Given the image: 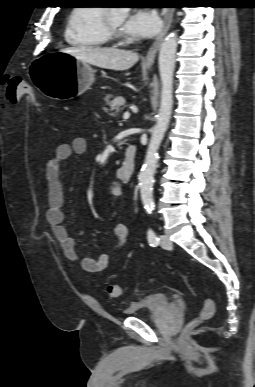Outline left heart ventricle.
I'll list each match as a JSON object with an SVG mask.
<instances>
[{"mask_svg":"<svg viewBox=\"0 0 255 387\" xmlns=\"http://www.w3.org/2000/svg\"><path fill=\"white\" fill-rule=\"evenodd\" d=\"M110 17H111V21H112V24L119 30H121L122 26H123V22H124V16L117 12V11H112L110 13Z\"/></svg>","mask_w":255,"mask_h":387,"instance_id":"obj_1","label":"left heart ventricle"}]
</instances>
